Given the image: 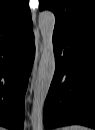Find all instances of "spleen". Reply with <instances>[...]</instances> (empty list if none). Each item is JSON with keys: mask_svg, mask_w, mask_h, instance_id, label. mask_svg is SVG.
<instances>
[{"mask_svg": "<svg viewBox=\"0 0 95 130\" xmlns=\"http://www.w3.org/2000/svg\"><path fill=\"white\" fill-rule=\"evenodd\" d=\"M62 130H89L87 127L79 125L66 126Z\"/></svg>", "mask_w": 95, "mask_h": 130, "instance_id": "spleen-1", "label": "spleen"}]
</instances>
